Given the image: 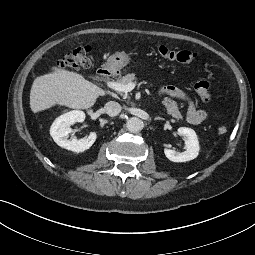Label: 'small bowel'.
<instances>
[{"instance_id":"obj_1","label":"small bowel","mask_w":255,"mask_h":255,"mask_svg":"<svg viewBox=\"0 0 255 255\" xmlns=\"http://www.w3.org/2000/svg\"><path fill=\"white\" fill-rule=\"evenodd\" d=\"M160 95L172 97L184 102L186 105V119L193 125L200 124L210 118V114L207 111L197 108L192 100L175 86L164 87L160 91Z\"/></svg>"}]
</instances>
